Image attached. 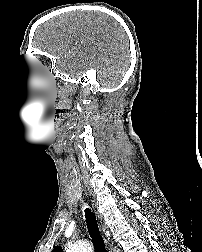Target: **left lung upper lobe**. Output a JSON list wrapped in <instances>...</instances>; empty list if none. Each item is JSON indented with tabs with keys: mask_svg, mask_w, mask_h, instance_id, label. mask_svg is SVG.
<instances>
[{
	"mask_svg": "<svg viewBox=\"0 0 202 252\" xmlns=\"http://www.w3.org/2000/svg\"><path fill=\"white\" fill-rule=\"evenodd\" d=\"M52 252H61V250L58 249V248H56V249H54Z\"/></svg>",
	"mask_w": 202,
	"mask_h": 252,
	"instance_id": "1",
	"label": "left lung upper lobe"
}]
</instances>
